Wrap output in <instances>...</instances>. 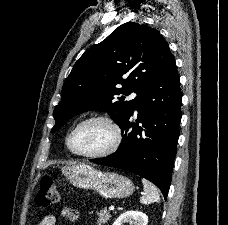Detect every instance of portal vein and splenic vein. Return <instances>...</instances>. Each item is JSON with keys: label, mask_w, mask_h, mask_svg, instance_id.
I'll return each instance as SVG.
<instances>
[{"label": "portal vein and splenic vein", "mask_w": 228, "mask_h": 225, "mask_svg": "<svg viewBox=\"0 0 228 225\" xmlns=\"http://www.w3.org/2000/svg\"><path fill=\"white\" fill-rule=\"evenodd\" d=\"M114 209V204H109V211H113Z\"/></svg>", "instance_id": "obj_1"}]
</instances>
